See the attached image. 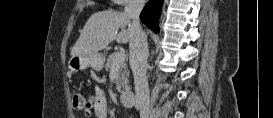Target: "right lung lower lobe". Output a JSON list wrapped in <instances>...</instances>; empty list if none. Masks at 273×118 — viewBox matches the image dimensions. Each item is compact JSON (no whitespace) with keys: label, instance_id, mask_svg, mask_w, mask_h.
<instances>
[{"label":"right lung lower lobe","instance_id":"98d812e1","mask_svg":"<svg viewBox=\"0 0 273 118\" xmlns=\"http://www.w3.org/2000/svg\"><path fill=\"white\" fill-rule=\"evenodd\" d=\"M163 0H150L143 8L140 19L141 21L155 32H159L158 18L162 7Z\"/></svg>","mask_w":273,"mask_h":118}]
</instances>
